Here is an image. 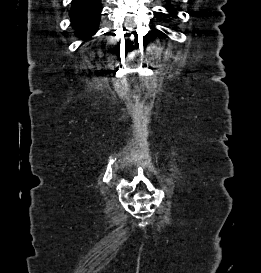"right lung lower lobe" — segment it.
<instances>
[{
    "label": "right lung lower lobe",
    "instance_id": "right-lung-lower-lobe-1",
    "mask_svg": "<svg viewBox=\"0 0 261 273\" xmlns=\"http://www.w3.org/2000/svg\"><path fill=\"white\" fill-rule=\"evenodd\" d=\"M101 0H73L70 18L75 33L87 39L96 33L101 15Z\"/></svg>",
    "mask_w": 261,
    "mask_h": 273
}]
</instances>
